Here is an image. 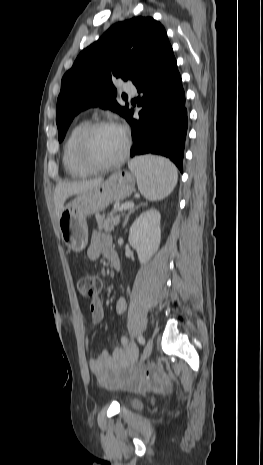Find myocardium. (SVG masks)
<instances>
[{
  "mask_svg": "<svg viewBox=\"0 0 263 465\" xmlns=\"http://www.w3.org/2000/svg\"><path fill=\"white\" fill-rule=\"evenodd\" d=\"M105 127L119 128L124 136V146L120 155L113 161L105 164L95 162L89 155V139L91 135L98 129ZM130 149V138L126 131L118 124L109 120H98L88 123L80 132L76 143V154L79 162L91 172L107 171L119 166L127 157Z\"/></svg>",
  "mask_w": 263,
  "mask_h": 465,
  "instance_id": "myocardium-1",
  "label": "myocardium"
}]
</instances>
